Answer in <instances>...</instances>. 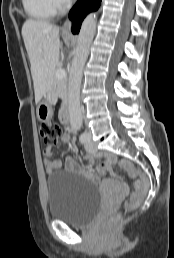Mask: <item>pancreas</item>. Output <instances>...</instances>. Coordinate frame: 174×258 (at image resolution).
<instances>
[{"instance_id": "obj_1", "label": "pancreas", "mask_w": 174, "mask_h": 258, "mask_svg": "<svg viewBox=\"0 0 174 258\" xmlns=\"http://www.w3.org/2000/svg\"><path fill=\"white\" fill-rule=\"evenodd\" d=\"M59 68L56 69V71ZM51 102L55 103L58 97L63 98V102H65L67 97V81L65 79H59L56 77V73L53 78V84L51 87Z\"/></svg>"}]
</instances>
